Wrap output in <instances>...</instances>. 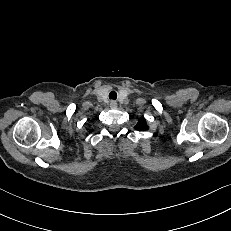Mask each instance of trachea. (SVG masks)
Listing matches in <instances>:
<instances>
[{
    "mask_svg": "<svg viewBox=\"0 0 231 231\" xmlns=\"http://www.w3.org/2000/svg\"><path fill=\"white\" fill-rule=\"evenodd\" d=\"M117 98V93L115 91H111L109 93V99L116 100Z\"/></svg>",
    "mask_w": 231,
    "mask_h": 231,
    "instance_id": "3493384b",
    "label": "trachea"
}]
</instances>
